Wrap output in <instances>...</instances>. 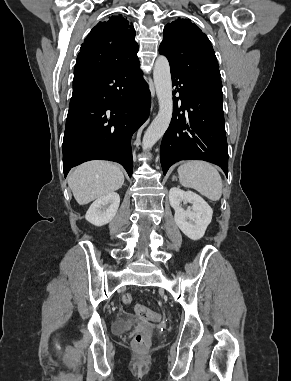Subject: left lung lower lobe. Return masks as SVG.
<instances>
[{
    "instance_id": "left-lung-lower-lobe-1",
    "label": "left lung lower lobe",
    "mask_w": 291,
    "mask_h": 381,
    "mask_svg": "<svg viewBox=\"0 0 291 381\" xmlns=\"http://www.w3.org/2000/svg\"><path fill=\"white\" fill-rule=\"evenodd\" d=\"M171 76L179 98L174 97L172 122L160 148L164 175L180 160H205L219 165L228 176L222 87L197 84L173 69Z\"/></svg>"
}]
</instances>
